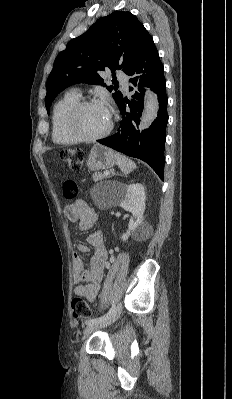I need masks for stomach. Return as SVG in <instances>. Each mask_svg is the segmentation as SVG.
I'll list each match as a JSON object with an SVG mask.
<instances>
[{
	"mask_svg": "<svg viewBox=\"0 0 232 399\" xmlns=\"http://www.w3.org/2000/svg\"><path fill=\"white\" fill-rule=\"evenodd\" d=\"M114 164H116V154L113 150L100 144L91 148L87 160L89 170H107V168H113Z\"/></svg>",
	"mask_w": 232,
	"mask_h": 399,
	"instance_id": "1",
	"label": "stomach"
}]
</instances>
